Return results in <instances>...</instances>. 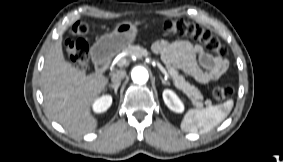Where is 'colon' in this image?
Returning <instances> with one entry per match:
<instances>
[{"mask_svg":"<svg viewBox=\"0 0 283 162\" xmlns=\"http://www.w3.org/2000/svg\"><path fill=\"white\" fill-rule=\"evenodd\" d=\"M91 25L87 22L76 23L71 31V37L65 43V54L67 59L80 71L88 70V45L85 36L89 33ZM163 34L175 37H188L203 44L216 56L223 57L227 54L226 47L210 31L203 27L182 19L165 20L159 24ZM213 98L224 101L233 94V87L229 83H217L213 87Z\"/></svg>","mask_w":283,"mask_h":162,"instance_id":"1","label":"colon"}]
</instances>
